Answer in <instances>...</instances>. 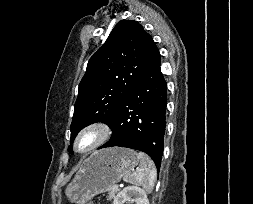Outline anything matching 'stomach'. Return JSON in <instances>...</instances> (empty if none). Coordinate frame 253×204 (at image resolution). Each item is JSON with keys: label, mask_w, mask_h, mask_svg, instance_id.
Here are the masks:
<instances>
[{"label": "stomach", "mask_w": 253, "mask_h": 204, "mask_svg": "<svg viewBox=\"0 0 253 204\" xmlns=\"http://www.w3.org/2000/svg\"><path fill=\"white\" fill-rule=\"evenodd\" d=\"M138 154L127 148L113 147L95 151L76 172L65 194L76 204H86L121 181L138 164Z\"/></svg>", "instance_id": "stomach-1"}]
</instances>
